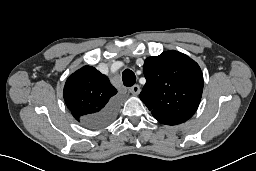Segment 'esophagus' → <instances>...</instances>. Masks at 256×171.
<instances>
[{
	"label": "esophagus",
	"mask_w": 256,
	"mask_h": 171,
	"mask_svg": "<svg viewBox=\"0 0 256 171\" xmlns=\"http://www.w3.org/2000/svg\"><path fill=\"white\" fill-rule=\"evenodd\" d=\"M130 93L133 95H138L140 93V86L139 85H134L129 89Z\"/></svg>",
	"instance_id": "34e87169"
}]
</instances>
